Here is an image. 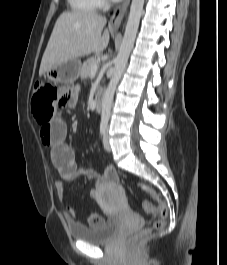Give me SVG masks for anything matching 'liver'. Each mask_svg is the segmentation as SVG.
Here are the masks:
<instances>
[{
    "label": "liver",
    "mask_w": 227,
    "mask_h": 265,
    "mask_svg": "<svg viewBox=\"0 0 227 265\" xmlns=\"http://www.w3.org/2000/svg\"><path fill=\"white\" fill-rule=\"evenodd\" d=\"M106 18L93 12H63L57 19L42 57L39 75L70 60L101 53L109 43Z\"/></svg>",
    "instance_id": "1"
}]
</instances>
